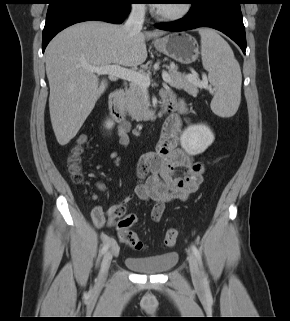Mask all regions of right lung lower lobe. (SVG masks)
<instances>
[{"label": "right lung lower lobe", "mask_w": 290, "mask_h": 321, "mask_svg": "<svg viewBox=\"0 0 290 321\" xmlns=\"http://www.w3.org/2000/svg\"><path fill=\"white\" fill-rule=\"evenodd\" d=\"M133 0H52L42 34V51L64 28L83 21L100 20L120 24Z\"/></svg>", "instance_id": "98d812e1"}]
</instances>
